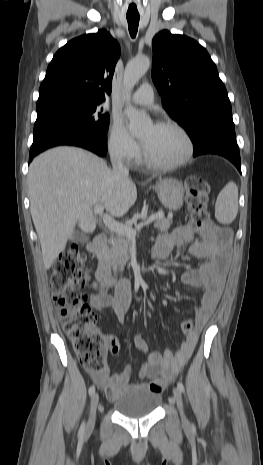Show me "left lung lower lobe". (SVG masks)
Returning <instances> with one entry per match:
<instances>
[{
	"mask_svg": "<svg viewBox=\"0 0 263 465\" xmlns=\"http://www.w3.org/2000/svg\"><path fill=\"white\" fill-rule=\"evenodd\" d=\"M193 156L201 154H218L229 159L241 172L239 147L235 130L232 127L215 128L205 135L203 140L195 144Z\"/></svg>",
	"mask_w": 263,
	"mask_h": 465,
	"instance_id": "left-lung-lower-lobe-1",
	"label": "left lung lower lobe"
}]
</instances>
